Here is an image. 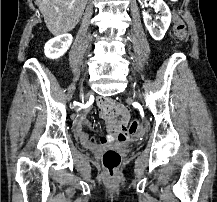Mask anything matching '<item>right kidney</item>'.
Here are the masks:
<instances>
[{"label": "right kidney", "mask_w": 217, "mask_h": 202, "mask_svg": "<svg viewBox=\"0 0 217 202\" xmlns=\"http://www.w3.org/2000/svg\"><path fill=\"white\" fill-rule=\"evenodd\" d=\"M72 42L73 38L71 34H63V36H58V38L48 40L44 48L45 56H47V58H51V60L60 58V56H63V54L67 52Z\"/></svg>", "instance_id": "ca27d5eb"}]
</instances>
